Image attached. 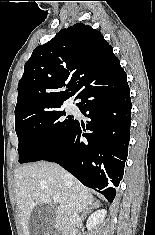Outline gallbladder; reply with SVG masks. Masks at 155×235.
I'll return each mask as SVG.
<instances>
[{
    "label": "gallbladder",
    "mask_w": 155,
    "mask_h": 235,
    "mask_svg": "<svg viewBox=\"0 0 155 235\" xmlns=\"http://www.w3.org/2000/svg\"><path fill=\"white\" fill-rule=\"evenodd\" d=\"M56 211L52 205L38 204L29 220L30 235H52Z\"/></svg>",
    "instance_id": "gallbladder-1"
}]
</instances>
